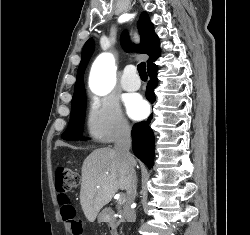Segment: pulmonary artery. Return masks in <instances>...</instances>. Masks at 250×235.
<instances>
[{
  "label": "pulmonary artery",
  "instance_id": "1",
  "mask_svg": "<svg viewBox=\"0 0 250 235\" xmlns=\"http://www.w3.org/2000/svg\"><path fill=\"white\" fill-rule=\"evenodd\" d=\"M141 85V80L139 77L134 73V67L129 65L124 70V73L122 75L121 79V86L126 91H135L137 90Z\"/></svg>",
  "mask_w": 250,
  "mask_h": 235
}]
</instances>
